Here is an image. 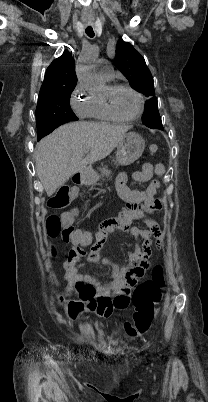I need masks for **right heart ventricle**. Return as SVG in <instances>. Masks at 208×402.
I'll return each mask as SVG.
<instances>
[{
	"label": "right heart ventricle",
	"mask_w": 208,
	"mask_h": 402,
	"mask_svg": "<svg viewBox=\"0 0 208 402\" xmlns=\"http://www.w3.org/2000/svg\"><path fill=\"white\" fill-rule=\"evenodd\" d=\"M93 104L90 121L95 126H109L120 121L115 119L108 111L102 93L92 94Z\"/></svg>",
	"instance_id": "obj_1"
}]
</instances>
